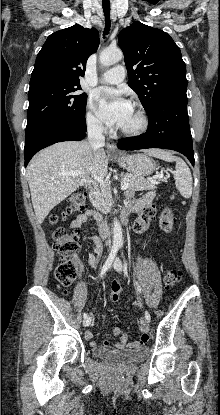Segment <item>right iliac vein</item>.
Segmentation results:
<instances>
[{"instance_id":"1","label":"right iliac vein","mask_w":220,"mask_h":415,"mask_svg":"<svg viewBox=\"0 0 220 415\" xmlns=\"http://www.w3.org/2000/svg\"><path fill=\"white\" fill-rule=\"evenodd\" d=\"M90 324H91V318L90 317H87L86 319H84L83 325L85 327L89 326Z\"/></svg>"}]
</instances>
